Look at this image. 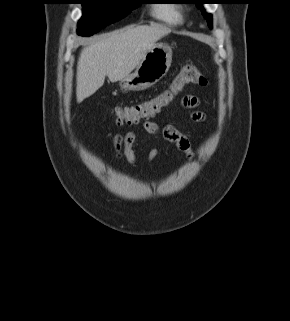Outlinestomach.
Masks as SVG:
<instances>
[{
  "instance_id": "0dacf381",
  "label": "stomach",
  "mask_w": 290,
  "mask_h": 321,
  "mask_svg": "<svg viewBox=\"0 0 290 321\" xmlns=\"http://www.w3.org/2000/svg\"><path fill=\"white\" fill-rule=\"evenodd\" d=\"M172 62V49L164 43H156L144 56L134 73L120 81L125 91L145 90L160 81Z\"/></svg>"
}]
</instances>
